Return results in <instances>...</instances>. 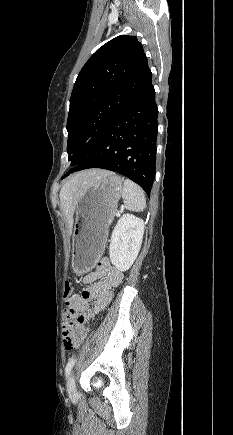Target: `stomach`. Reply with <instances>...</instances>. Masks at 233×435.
I'll return each instance as SVG.
<instances>
[{
  "label": "stomach",
  "mask_w": 233,
  "mask_h": 435,
  "mask_svg": "<svg viewBox=\"0 0 233 435\" xmlns=\"http://www.w3.org/2000/svg\"><path fill=\"white\" fill-rule=\"evenodd\" d=\"M123 179L113 172L89 186L76 206L72 234V268L77 275L91 271L101 257L108 227L123 191Z\"/></svg>",
  "instance_id": "1"
}]
</instances>
